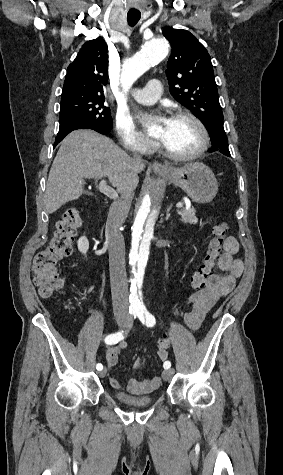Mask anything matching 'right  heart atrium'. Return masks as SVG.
<instances>
[{"instance_id":"obj_1","label":"right heart atrium","mask_w":283,"mask_h":475,"mask_svg":"<svg viewBox=\"0 0 283 475\" xmlns=\"http://www.w3.org/2000/svg\"><path fill=\"white\" fill-rule=\"evenodd\" d=\"M113 130L119 138L120 148L125 155L148 156L153 149L152 140L138 131L130 117L119 114L113 123Z\"/></svg>"}]
</instances>
